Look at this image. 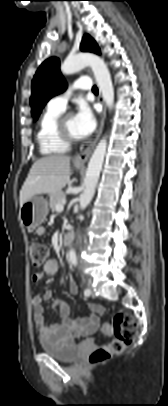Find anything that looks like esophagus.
<instances>
[{
  "label": "esophagus",
  "mask_w": 168,
  "mask_h": 406,
  "mask_svg": "<svg viewBox=\"0 0 168 406\" xmlns=\"http://www.w3.org/2000/svg\"><path fill=\"white\" fill-rule=\"evenodd\" d=\"M88 71L90 72L89 69H88ZM98 101L102 104V107H103L101 117H100L99 128H98L95 139L83 151L78 153L73 158V162L76 164H79V165H84L88 161L90 155L92 154V151L94 150V148L97 144V141L100 138V135H101L103 127H104V121H105V117H106V107H105L104 100H103V97L100 92H99V96H98Z\"/></svg>",
  "instance_id": "obj_1"
}]
</instances>
